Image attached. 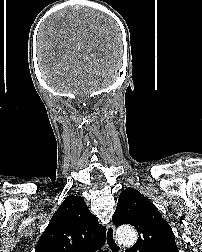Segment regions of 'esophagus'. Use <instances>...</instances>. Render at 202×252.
I'll use <instances>...</instances> for the list:
<instances>
[{"instance_id":"1","label":"esophagus","mask_w":202,"mask_h":252,"mask_svg":"<svg viewBox=\"0 0 202 252\" xmlns=\"http://www.w3.org/2000/svg\"><path fill=\"white\" fill-rule=\"evenodd\" d=\"M106 245L110 252H121V246L115 237V228L109 224L106 229Z\"/></svg>"}]
</instances>
